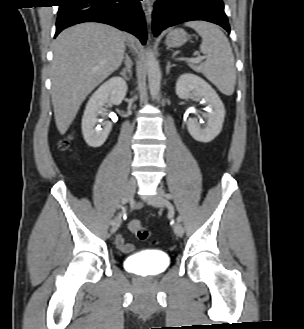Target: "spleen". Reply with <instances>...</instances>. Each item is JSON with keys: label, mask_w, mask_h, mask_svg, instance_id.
I'll return each instance as SVG.
<instances>
[{"label": "spleen", "mask_w": 304, "mask_h": 329, "mask_svg": "<svg viewBox=\"0 0 304 329\" xmlns=\"http://www.w3.org/2000/svg\"><path fill=\"white\" fill-rule=\"evenodd\" d=\"M202 38L200 51L206 61L200 65L202 74L223 94L232 95L236 84L234 55L227 37L214 24L205 21H190L185 24Z\"/></svg>", "instance_id": "3e777b00"}]
</instances>
